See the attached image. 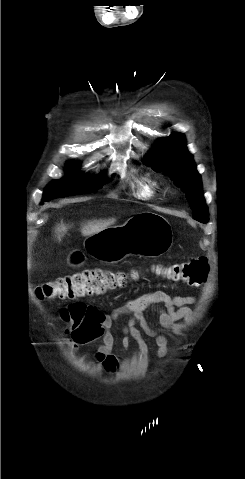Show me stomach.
Returning a JSON list of instances; mask_svg holds the SVG:
<instances>
[{
  "label": "stomach",
  "instance_id": "stomach-1",
  "mask_svg": "<svg viewBox=\"0 0 245 479\" xmlns=\"http://www.w3.org/2000/svg\"><path fill=\"white\" fill-rule=\"evenodd\" d=\"M172 228L168 220L155 212L137 213L125 224L109 227L85 239V251L93 258L114 264L130 255L155 258L172 245ZM85 254L74 250L68 256L72 266L83 264Z\"/></svg>",
  "mask_w": 245,
  "mask_h": 479
}]
</instances>
